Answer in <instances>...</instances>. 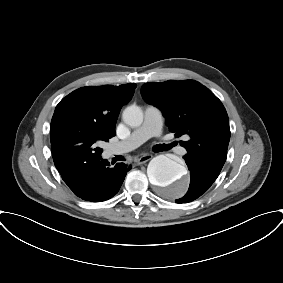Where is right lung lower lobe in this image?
I'll use <instances>...</instances> for the list:
<instances>
[{
  "instance_id": "98d812e1",
  "label": "right lung lower lobe",
  "mask_w": 283,
  "mask_h": 283,
  "mask_svg": "<svg viewBox=\"0 0 283 283\" xmlns=\"http://www.w3.org/2000/svg\"><path fill=\"white\" fill-rule=\"evenodd\" d=\"M131 166H111L100 156L69 165L60 172L62 179L78 197L92 202L105 201L118 193Z\"/></svg>"
}]
</instances>
